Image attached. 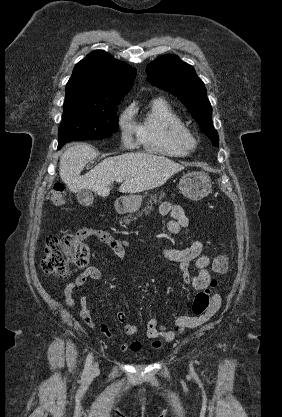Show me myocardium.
<instances>
[{"instance_id":"f54148a6","label":"myocardium","mask_w":282,"mask_h":417,"mask_svg":"<svg viewBox=\"0 0 282 417\" xmlns=\"http://www.w3.org/2000/svg\"><path fill=\"white\" fill-rule=\"evenodd\" d=\"M171 133L182 151L189 152L193 144V137L191 133L181 125L172 126Z\"/></svg>"}]
</instances>
